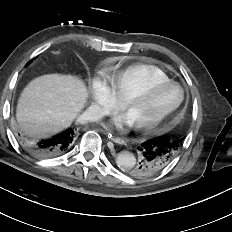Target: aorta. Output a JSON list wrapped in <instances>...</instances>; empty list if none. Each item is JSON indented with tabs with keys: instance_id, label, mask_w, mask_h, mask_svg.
Segmentation results:
<instances>
[{
	"instance_id": "762f6f07",
	"label": "aorta",
	"mask_w": 232,
	"mask_h": 232,
	"mask_svg": "<svg viewBox=\"0 0 232 232\" xmlns=\"http://www.w3.org/2000/svg\"><path fill=\"white\" fill-rule=\"evenodd\" d=\"M116 164L121 169H124V170L131 169L136 164V158L134 154L128 151H123L117 155Z\"/></svg>"
}]
</instances>
